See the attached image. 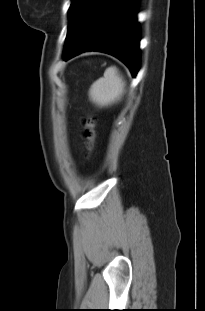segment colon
Returning <instances> with one entry per match:
<instances>
[{
  "label": "colon",
  "instance_id": "5ec220e1",
  "mask_svg": "<svg viewBox=\"0 0 205 311\" xmlns=\"http://www.w3.org/2000/svg\"><path fill=\"white\" fill-rule=\"evenodd\" d=\"M97 119L95 116L88 115L83 119V138L85 141V147L88 155L92 153L96 145L97 131H96Z\"/></svg>",
  "mask_w": 205,
  "mask_h": 311
}]
</instances>
